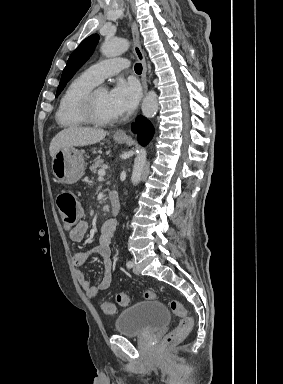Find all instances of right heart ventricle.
<instances>
[{
    "instance_id": "obj_1",
    "label": "right heart ventricle",
    "mask_w": 283,
    "mask_h": 384,
    "mask_svg": "<svg viewBox=\"0 0 283 384\" xmlns=\"http://www.w3.org/2000/svg\"><path fill=\"white\" fill-rule=\"evenodd\" d=\"M95 85L85 73L77 76L67 85L59 98L55 114L56 120L62 128L77 130L87 125L78 117L76 106L79 99Z\"/></svg>"
}]
</instances>
